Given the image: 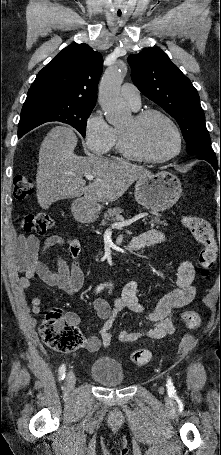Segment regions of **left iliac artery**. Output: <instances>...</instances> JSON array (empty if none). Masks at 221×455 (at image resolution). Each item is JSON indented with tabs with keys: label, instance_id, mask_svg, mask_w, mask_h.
<instances>
[{
	"label": "left iliac artery",
	"instance_id": "left-iliac-artery-1",
	"mask_svg": "<svg viewBox=\"0 0 221 455\" xmlns=\"http://www.w3.org/2000/svg\"><path fill=\"white\" fill-rule=\"evenodd\" d=\"M167 388H168L169 390L174 389L173 383H172V381H171L170 378H169L168 381H167Z\"/></svg>",
	"mask_w": 221,
	"mask_h": 455
}]
</instances>
